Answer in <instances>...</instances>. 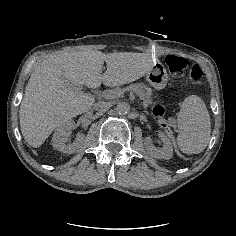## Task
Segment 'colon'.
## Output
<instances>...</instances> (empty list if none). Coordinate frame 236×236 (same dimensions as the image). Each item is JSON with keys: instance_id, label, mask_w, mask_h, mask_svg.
Listing matches in <instances>:
<instances>
[{"instance_id": "colon-1", "label": "colon", "mask_w": 236, "mask_h": 236, "mask_svg": "<svg viewBox=\"0 0 236 236\" xmlns=\"http://www.w3.org/2000/svg\"><path fill=\"white\" fill-rule=\"evenodd\" d=\"M165 63L170 72L173 74L181 75L188 67V60L180 55L168 54L165 58ZM189 79L193 83H202L204 81V72L199 64L192 65L189 74ZM152 114L157 119L164 118L166 114V108L163 103L157 101L153 104Z\"/></svg>"}]
</instances>
